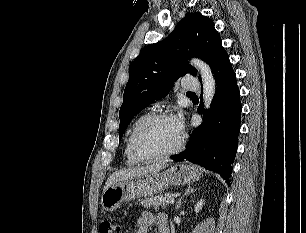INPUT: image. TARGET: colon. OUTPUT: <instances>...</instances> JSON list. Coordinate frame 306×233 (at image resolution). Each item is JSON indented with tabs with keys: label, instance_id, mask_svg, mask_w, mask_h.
Returning <instances> with one entry per match:
<instances>
[{
	"label": "colon",
	"instance_id": "5ec220e1",
	"mask_svg": "<svg viewBox=\"0 0 306 233\" xmlns=\"http://www.w3.org/2000/svg\"><path fill=\"white\" fill-rule=\"evenodd\" d=\"M100 233H123L121 228L112 221H103L99 227Z\"/></svg>",
	"mask_w": 306,
	"mask_h": 233
}]
</instances>
